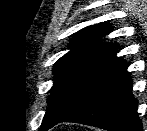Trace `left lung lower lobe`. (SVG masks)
Wrapping results in <instances>:
<instances>
[{"mask_svg":"<svg viewBox=\"0 0 147 131\" xmlns=\"http://www.w3.org/2000/svg\"><path fill=\"white\" fill-rule=\"evenodd\" d=\"M137 104L125 63L76 112L61 122L81 123L108 131H142Z\"/></svg>","mask_w":147,"mask_h":131,"instance_id":"1","label":"left lung lower lobe"}]
</instances>
